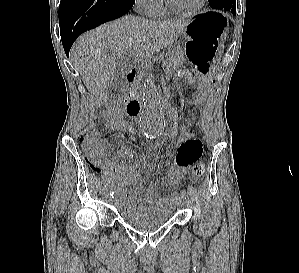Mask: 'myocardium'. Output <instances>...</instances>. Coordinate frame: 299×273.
<instances>
[{"label": "myocardium", "instance_id": "myocardium-1", "mask_svg": "<svg viewBox=\"0 0 299 273\" xmlns=\"http://www.w3.org/2000/svg\"><path fill=\"white\" fill-rule=\"evenodd\" d=\"M165 6L168 11L174 14L183 16H194L198 14L204 7L206 0H199V3L191 10H183L173 5L171 0H164Z\"/></svg>", "mask_w": 299, "mask_h": 273}]
</instances>
